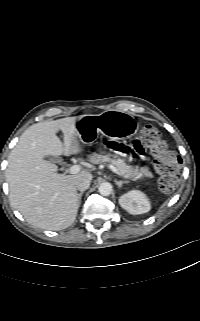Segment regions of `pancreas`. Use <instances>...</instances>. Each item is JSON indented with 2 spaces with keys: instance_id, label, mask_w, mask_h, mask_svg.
Here are the masks:
<instances>
[{
  "instance_id": "obj_1",
  "label": "pancreas",
  "mask_w": 200,
  "mask_h": 321,
  "mask_svg": "<svg viewBox=\"0 0 200 321\" xmlns=\"http://www.w3.org/2000/svg\"><path fill=\"white\" fill-rule=\"evenodd\" d=\"M89 161L93 164H102L108 163L117 169H119L124 176L128 179L137 180L143 177H152V173L148 169V167H141L139 169L138 166L133 167L128 165L123 159L117 158L111 154H92L89 156Z\"/></svg>"
}]
</instances>
